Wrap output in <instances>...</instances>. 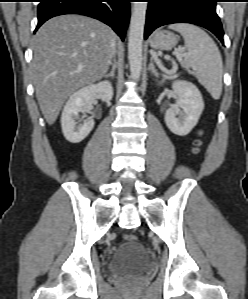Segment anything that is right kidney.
<instances>
[{"instance_id":"obj_1","label":"right kidney","mask_w":248,"mask_h":299,"mask_svg":"<svg viewBox=\"0 0 248 299\" xmlns=\"http://www.w3.org/2000/svg\"><path fill=\"white\" fill-rule=\"evenodd\" d=\"M108 102L113 97L111 83L101 81L90 84L73 93L66 102L62 115L61 126L65 138L71 143H79L84 140L94 127V120L87 118L83 125L76 126L79 113L91 110L95 98Z\"/></svg>"}]
</instances>
